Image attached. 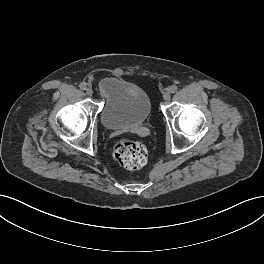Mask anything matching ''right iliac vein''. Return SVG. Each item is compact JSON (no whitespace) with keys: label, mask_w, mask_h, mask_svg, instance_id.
I'll return each mask as SVG.
<instances>
[{"label":"right iliac vein","mask_w":264,"mask_h":264,"mask_svg":"<svg viewBox=\"0 0 264 264\" xmlns=\"http://www.w3.org/2000/svg\"><path fill=\"white\" fill-rule=\"evenodd\" d=\"M86 94L91 96L93 94V90L91 88L86 89Z\"/></svg>","instance_id":"1"}]
</instances>
